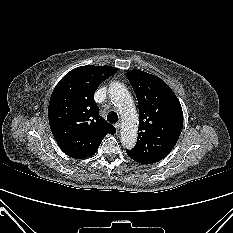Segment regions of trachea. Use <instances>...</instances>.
<instances>
[{
  "label": "trachea",
  "mask_w": 233,
  "mask_h": 233,
  "mask_svg": "<svg viewBox=\"0 0 233 233\" xmlns=\"http://www.w3.org/2000/svg\"><path fill=\"white\" fill-rule=\"evenodd\" d=\"M107 120L110 122V123H116L118 121V115L116 112L114 111H111L108 116H107Z\"/></svg>",
  "instance_id": "1"
}]
</instances>
